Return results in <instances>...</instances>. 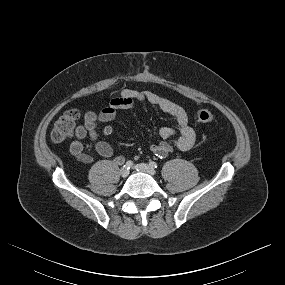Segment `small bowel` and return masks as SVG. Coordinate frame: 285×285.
Returning <instances> with one entry per match:
<instances>
[{"label":"small bowel","mask_w":285,"mask_h":285,"mask_svg":"<svg viewBox=\"0 0 285 285\" xmlns=\"http://www.w3.org/2000/svg\"><path fill=\"white\" fill-rule=\"evenodd\" d=\"M143 101L149 102L170 115L177 124V129L172 127H162L159 129L158 134L162 141L151 146V151L154 154L160 157L167 156L173 150L172 144L168 141L173 137H176L174 146L179 151L185 152L193 147L196 140V133L190 126L188 114L182 106L152 91L123 89L100 112L88 111L85 113L83 124L77 126L75 129L74 139L70 144L71 154L82 163H92L94 157L89 151L85 150L82 142L88 137L94 143L95 150L99 155L106 158L112 157V147L107 142L99 139L97 124L107 123L103 128V134L111 136L114 128L109 123L116 118L117 111L120 109H130L136 102ZM114 162L122 164L124 157L121 155L115 156Z\"/></svg>","instance_id":"obj_1"}]
</instances>
